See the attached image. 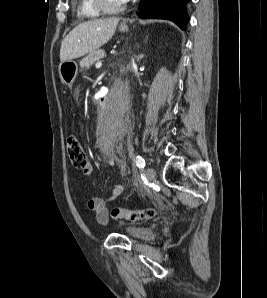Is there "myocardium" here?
<instances>
[{"mask_svg":"<svg viewBox=\"0 0 267 298\" xmlns=\"http://www.w3.org/2000/svg\"><path fill=\"white\" fill-rule=\"evenodd\" d=\"M97 9L103 14H116L124 10L125 4L119 6H111L107 0H94Z\"/></svg>","mask_w":267,"mask_h":298,"instance_id":"1","label":"myocardium"}]
</instances>
